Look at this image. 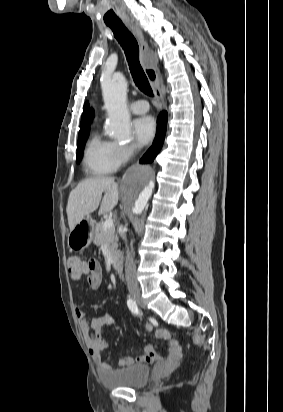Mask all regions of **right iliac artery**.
<instances>
[{
    "label": "right iliac artery",
    "mask_w": 283,
    "mask_h": 412,
    "mask_svg": "<svg viewBox=\"0 0 283 412\" xmlns=\"http://www.w3.org/2000/svg\"><path fill=\"white\" fill-rule=\"evenodd\" d=\"M127 306L133 314H135V315H140L141 314L140 309H139L135 299L129 297L128 300H127Z\"/></svg>",
    "instance_id": "right-iliac-artery-1"
}]
</instances>
